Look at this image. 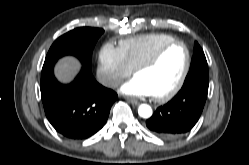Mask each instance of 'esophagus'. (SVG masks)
I'll return each instance as SVG.
<instances>
[{
    "mask_svg": "<svg viewBox=\"0 0 249 165\" xmlns=\"http://www.w3.org/2000/svg\"><path fill=\"white\" fill-rule=\"evenodd\" d=\"M127 101L133 105H138L139 104V101L136 100V99H133V98H129L127 97Z\"/></svg>",
    "mask_w": 249,
    "mask_h": 165,
    "instance_id": "34e87169",
    "label": "esophagus"
}]
</instances>
